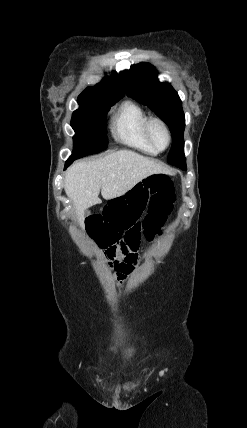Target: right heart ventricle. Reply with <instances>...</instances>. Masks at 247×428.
I'll use <instances>...</instances> for the list:
<instances>
[{
  "mask_svg": "<svg viewBox=\"0 0 247 428\" xmlns=\"http://www.w3.org/2000/svg\"><path fill=\"white\" fill-rule=\"evenodd\" d=\"M145 110L133 101H126L112 120L114 138L133 149L149 155L158 151L149 143L145 135V122L148 119Z\"/></svg>",
  "mask_w": 247,
  "mask_h": 428,
  "instance_id": "right-heart-ventricle-1",
  "label": "right heart ventricle"
}]
</instances>
